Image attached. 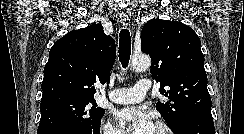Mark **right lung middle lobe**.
<instances>
[{
	"instance_id": "right-lung-middle-lobe-1",
	"label": "right lung middle lobe",
	"mask_w": 244,
	"mask_h": 134,
	"mask_svg": "<svg viewBox=\"0 0 244 134\" xmlns=\"http://www.w3.org/2000/svg\"><path fill=\"white\" fill-rule=\"evenodd\" d=\"M41 120L37 134H45L57 127L97 128L105 110L95 101L71 97H55L41 101Z\"/></svg>"
}]
</instances>
